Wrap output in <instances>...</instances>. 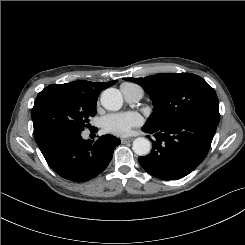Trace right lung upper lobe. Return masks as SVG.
Segmentation results:
<instances>
[{
  "mask_svg": "<svg viewBox=\"0 0 245 245\" xmlns=\"http://www.w3.org/2000/svg\"><path fill=\"white\" fill-rule=\"evenodd\" d=\"M116 83L115 81H109L106 83L103 82H90V81H85V80H78V81H73L70 83H66L67 87H70L72 89H75L87 96L95 97L98 98L100 92Z\"/></svg>",
  "mask_w": 245,
  "mask_h": 245,
  "instance_id": "cb5924a9",
  "label": "right lung upper lobe"
}]
</instances>
